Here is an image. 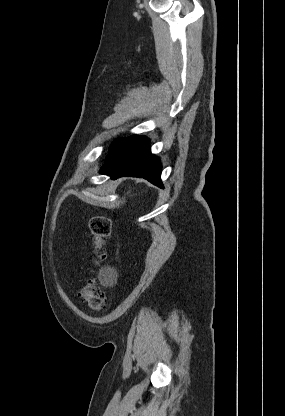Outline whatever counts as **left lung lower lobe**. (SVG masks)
I'll use <instances>...</instances> for the list:
<instances>
[{"label": "left lung lower lobe", "mask_w": 285, "mask_h": 416, "mask_svg": "<svg viewBox=\"0 0 285 416\" xmlns=\"http://www.w3.org/2000/svg\"><path fill=\"white\" fill-rule=\"evenodd\" d=\"M149 142L146 137L138 135L116 139L109 147V155L100 173L112 179L123 176L145 178L162 188L161 165L159 159L151 154Z\"/></svg>", "instance_id": "obj_1"}]
</instances>
